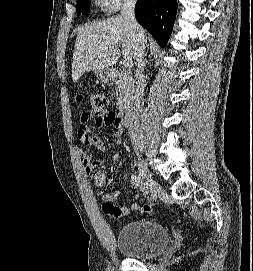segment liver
I'll return each mask as SVG.
<instances>
[{
	"mask_svg": "<svg viewBox=\"0 0 253 271\" xmlns=\"http://www.w3.org/2000/svg\"><path fill=\"white\" fill-rule=\"evenodd\" d=\"M120 45L125 60L136 59L137 40L120 15L80 27L73 52L72 80L78 81L86 71L109 69L120 57Z\"/></svg>",
	"mask_w": 253,
	"mask_h": 271,
	"instance_id": "liver-1",
	"label": "liver"
}]
</instances>
